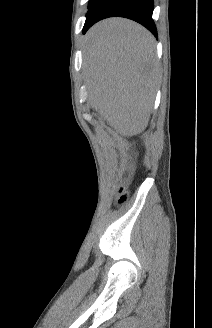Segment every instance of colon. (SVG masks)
Masks as SVG:
<instances>
[{"mask_svg":"<svg viewBox=\"0 0 212 328\" xmlns=\"http://www.w3.org/2000/svg\"><path fill=\"white\" fill-rule=\"evenodd\" d=\"M133 176V172L132 170L128 171L127 177L125 178V182L122 186L119 187L118 192H117V204H122L123 202H125L127 196H128V192L126 189V185L128 184V182L131 180Z\"/></svg>","mask_w":212,"mask_h":328,"instance_id":"colon-1","label":"colon"}]
</instances>
